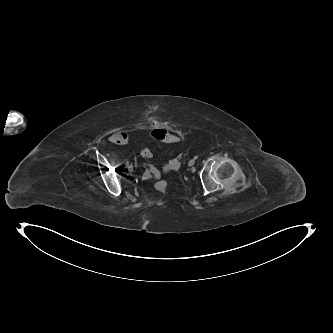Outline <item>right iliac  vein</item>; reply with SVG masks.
<instances>
[{"mask_svg": "<svg viewBox=\"0 0 333 333\" xmlns=\"http://www.w3.org/2000/svg\"><path fill=\"white\" fill-rule=\"evenodd\" d=\"M133 171V166L131 165L130 167H129V172L131 173Z\"/></svg>", "mask_w": 333, "mask_h": 333, "instance_id": "right-iliac-vein-1", "label": "right iliac vein"}]
</instances>
